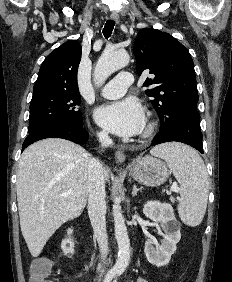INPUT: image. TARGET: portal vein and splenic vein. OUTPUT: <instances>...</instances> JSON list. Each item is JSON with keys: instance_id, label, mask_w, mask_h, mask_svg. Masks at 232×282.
<instances>
[{"instance_id": "portal-vein-and-splenic-vein-1", "label": "portal vein and splenic vein", "mask_w": 232, "mask_h": 282, "mask_svg": "<svg viewBox=\"0 0 232 282\" xmlns=\"http://www.w3.org/2000/svg\"><path fill=\"white\" fill-rule=\"evenodd\" d=\"M171 191H173V192H178L179 191V188H178L177 184H173L171 186ZM69 194L70 193L65 192V193H62V196L67 197Z\"/></svg>"}]
</instances>
